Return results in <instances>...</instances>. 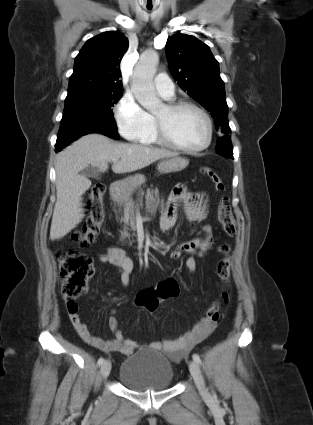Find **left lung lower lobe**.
<instances>
[{
    "instance_id": "obj_1",
    "label": "left lung lower lobe",
    "mask_w": 313,
    "mask_h": 425,
    "mask_svg": "<svg viewBox=\"0 0 313 425\" xmlns=\"http://www.w3.org/2000/svg\"><path fill=\"white\" fill-rule=\"evenodd\" d=\"M223 139H230V137H229L228 135H225V136H223L222 138H220V139L218 140V142H219V141H221V140H223Z\"/></svg>"
}]
</instances>
